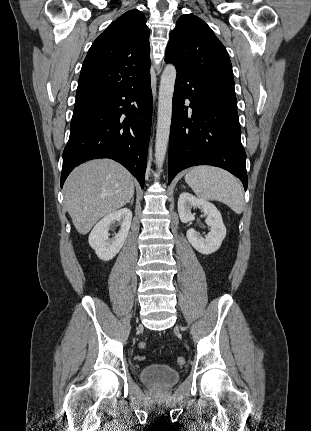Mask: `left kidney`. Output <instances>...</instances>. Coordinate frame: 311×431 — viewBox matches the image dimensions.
I'll list each match as a JSON object with an SVG mask.
<instances>
[{"mask_svg": "<svg viewBox=\"0 0 311 431\" xmlns=\"http://www.w3.org/2000/svg\"><path fill=\"white\" fill-rule=\"evenodd\" d=\"M178 214L183 221V223H188V221H192L195 219V214H192V208H199L204 212L207 225H210L211 231H208L205 237L199 235L193 227L188 229L186 233V237L188 241H190L191 245L200 251V253H213V251H217L219 249L225 235H226V227L223 223L222 216L217 210L214 204H210V202H206V200H199V198H195L192 194H188V192H183L180 194L178 198Z\"/></svg>", "mask_w": 311, "mask_h": 431, "instance_id": "1", "label": "left kidney"}]
</instances>
